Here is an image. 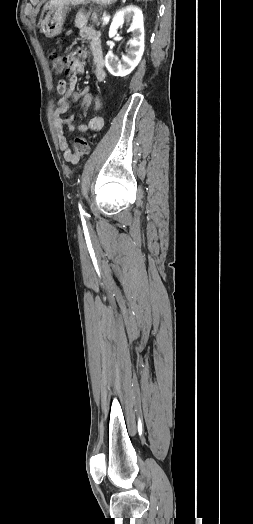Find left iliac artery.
<instances>
[{"label": "left iliac artery", "mask_w": 253, "mask_h": 524, "mask_svg": "<svg viewBox=\"0 0 253 524\" xmlns=\"http://www.w3.org/2000/svg\"><path fill=\"white\" fill-rule=\"evenodd\" d=\"M79 210H80V213H81V214H85V211H84V209L82 208L81 204H79Z\"/></svg>", "instance_id": "obj_1"}]
</instances>
